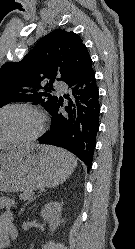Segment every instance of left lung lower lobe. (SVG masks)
<instances>
[{"mask_svg": "<svg viewBox=\"0 0 135 249\" xmlns=\"http://www.w3.org/2000/svg\"><path fill=\"white\" fill-rule=\"evenodd\" d=\"M68 86L70 92L65 95L69 100V105L65 107L66 112L60 110L63 105V99L60 98L50 112L51 129L39 141L72 152L89 170L92 166L100 115L99 93L92 63L77 79L69 82Z\"/></svg>", "mask_w": 135, "mask_h": 249, "instance_id": "obj_1", "label": "left lung lower lobe"}]
</instances>
